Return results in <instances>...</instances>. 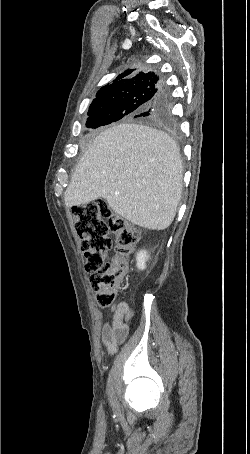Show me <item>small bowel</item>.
Here are the masks:
<instances>
[{"instance_id":"obj_1","label":"small bowel","mask_w":250,"mask_h":454,"mask_svg":"<svg viewBox=\"0 0 250 454\" xmlns=\"http://www.w3.org/2000/svg\"><path fill=\"white\" fill-rule=\"evenodd\" d=\"M133 317V310L125 303L118 304L114 311L111 323H106L102 329V342L105 345L108 353L113 355L128 335V321Z\"/></svg>"}]
</instances>
